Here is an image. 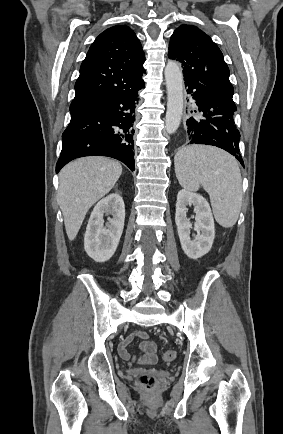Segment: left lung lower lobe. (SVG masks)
<instances>
[{"instance_id": "1", "label": "left lung lower lobe", "mask_w": 283, "mask_h": 434, "mask_svg": "<svg viewBox=\"0 0 283 434\" xmlns=\"http://www.w3.org/2000/svg\"><path fill=\"white\" fill-rule=\"evenodd\" d=\"M187 94L197 106L186 121L190 144L217 146L228 151L244 166L240 155V133L234 124L236 105L231 96L197 80L184 78Z\"/></svg>"}]
</instances>
